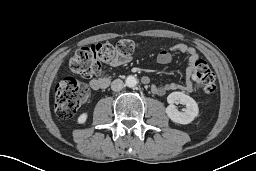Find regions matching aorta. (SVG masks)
<instances>
[{
    "instance_id": "obj_1",
    "label": "aorta",
    "mask_w": 256,
    "mask_h": 171,
    "mask_svg": "<svg viewBox=\"0 0 256 171\" xmlns=\"http://www.w3.org/2000/svg\"><path fill=\"white\" fill-rule=\"evenodd\" d=\"M125 84L129 88H134L137 85V79L130 75L126 78Z\"/></svg>"
}]
</instances>
